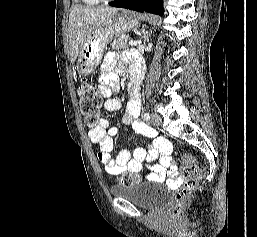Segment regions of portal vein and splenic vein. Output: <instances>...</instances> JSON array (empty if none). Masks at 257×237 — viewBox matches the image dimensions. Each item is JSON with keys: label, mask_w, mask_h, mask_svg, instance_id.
<instances>
[{"label": "portal vein and splenic vein", "mask_w": 257, "mask_h": 237, "mask_svg": "<svg viewBox=\"0 0 257 237\" xmlns=\"http://www.w3.org/2000/svg\"><path fill=\"white\" fill-rule=\"evenodd\" d=\"M129 44H130L131 46H136V45H137V41H129Z\"/></svg>", "instance_id": "portal-vein-and-splenic-vein-1"}]
</instances>
